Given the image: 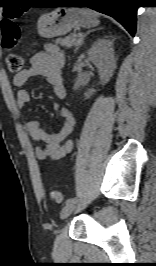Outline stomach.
<instances>
[{"label":"stomach","mask_w":156,"mask_h":266,"mask_svg":"<svg viewBox=\"0 0 156 266\" xmlns=\"http://www.w3.org/2000/svg\"><path fill=\"white\" fill-rule=\"evenodd\" d=\"M99 24L97 15L85 8L60 7L42 15L38 20V34L53 38L69 33L75 27H94Z\"/></svg>","instance_id":"0dacf381"}]
</instances>
